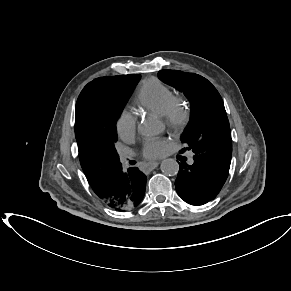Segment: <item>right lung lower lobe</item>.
I'll list each match as a JSON object with an SVG mask.
<instances>
[{"instance_id":"right-lung-lower-lobe-1","label":"right lung lower lobe","mask_w":291,"mask_h":291,"mask_svg":"<svg viewBox=\"0 0 291 291\" xmlns=\"http://www.w3.org/2000/svg\"><path fill=\"white\" fill-rule=\"evenodd\" d=\"M111 190L104 202L114 210L128 211L137 207L143 200L146 176L137 167L122 171V165H116L109 173Z\"/></svg>"}]
</instances>
